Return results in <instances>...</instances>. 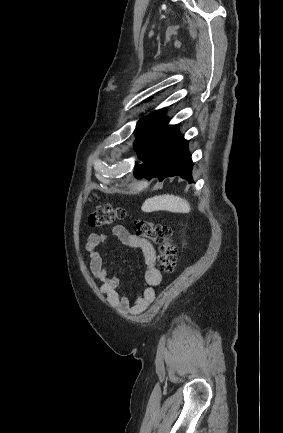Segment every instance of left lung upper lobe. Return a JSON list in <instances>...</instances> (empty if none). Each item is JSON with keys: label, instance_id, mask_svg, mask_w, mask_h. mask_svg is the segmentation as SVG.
I'll use <instances>...</instances> for the list:
<instances>
[{"label": "left lung upper lobe", "instance_id": "1", "mask_svg": "<svg viewBox=\"0 0 283 433\" xmlns=\"http://www.w3.org/2000/svg\"><path fill=\"white\" fill-rule=\"evenodd\" d=\"M167 120L164 117V110H158L141 119L136 126L137 140L134 143V150L140 154V150L149 138L150 134L159 128H170L173 132L178 131L177 126H166Z\"/></svg>", "mask_w": 283, "mask_h": 433}]
</instances>
